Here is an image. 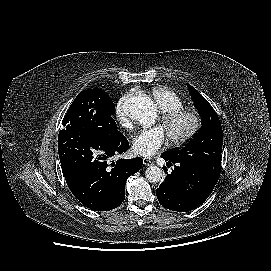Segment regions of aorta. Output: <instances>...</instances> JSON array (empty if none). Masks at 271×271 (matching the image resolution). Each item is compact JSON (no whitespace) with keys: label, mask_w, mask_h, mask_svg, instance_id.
I'll list each match as a JSON object with an SVG mask.
<instances>
[{"label":"aorta","mask_w":271,"mask_h":271,"mask_svg":"<svg viewBox=\"0 0 271 271\" xmlns=\"http://www.w3.org/2000/svg\"><path fill=\"white\" fill-rule=\"evenodd\" d=\"M129 116L143 126H151L157 117L156 104L147 95L135 96L129 104ZM145 176L151 183L159 182L162 178V170L157 166L148 167Z\"/></svg>","instance_id":"762f6f07"}]
</instances>
